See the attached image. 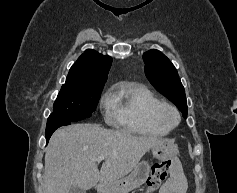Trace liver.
Wrapping results in <instances>:
<instances>
[{
  "label": "liver",
  "instance_id": "1",
  "mask_svg": "<svg viewBox=\"0 0 237 193\" xmlns=\"http://www.w3.org/2000/svg\"><path fill=\"white\" fill-rule=\"evenodd\" d=\"M164 140L134 136L102 128L99 124H73L54 132L45 153L44 193H69L73 186L83 190L98 182L113 183L139 164L144 154ZM105 155L100 171L97 157Z\"/></svg>",
  "mask_w": 237,
  "mask_h": 193
}]
</instances>
